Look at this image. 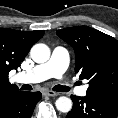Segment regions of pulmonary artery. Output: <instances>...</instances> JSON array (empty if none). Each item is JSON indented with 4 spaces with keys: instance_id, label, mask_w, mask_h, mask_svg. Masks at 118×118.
<instances>
[{
    "instance_id": "e3ab8cb5",
    "label": "pulmonary artery",
    "mask_w": 118,
    "mask_h": 118,
    "mask_svg": "<svg viewBox=\"0 0 118 118\" xmlns=\"http://www.w3.org/2000/svg\"><path fill=\"white\" fill-rule=\"evenodd\" d=\"M69 65V54L63 47L53 49L50 59L34 68L18 73L14 79L18 83H38L49 78H60ZM79 96H85L87 87L81 86L76 89Z\"/></svg>"
}]
</instances>
